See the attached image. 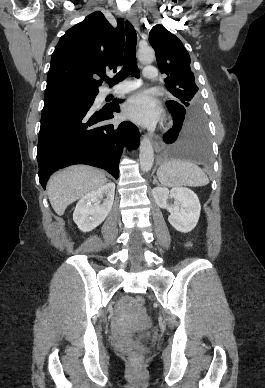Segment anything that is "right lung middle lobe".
Listing matches in <instances>:
<instances>
[{
    "mask_svg": "<svg viewBox=\"0 0 265 388\" xmlns=\"http://www.w3.org/2000/svg\"><path fill=\"white\" fill-rule=\"evenodd\" d=\"M95 97L96 95H71L44 99L42 113L67 106L85 105L94 101Z\"/></svg>",
    "mask_w": 265,
    "mask_h": 388,
    "instance_id": "right-lung-middle-lobe-1",
    "label": "right lung middle lobe"
}]
</instances>
